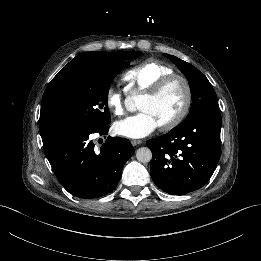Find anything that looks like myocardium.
<instances>
[{
  "label": "myocardium",
  "instance_id": "myocardium-1",
  "mask_svg": "<svg viewBox=\"0 0 261 261\" xmlns=\"http://www.w3.org/2000/svg\"><path fill=\"white\" fill-rule=\"evenodd\" d=\"M180 82L182 83L184 90H185V99L183 106L181 110L169 121L166 123L160 125V128L162 130H171L175 128L177 125H179L183 119L187 116L189 113L191 104H192V88L189 80L183 76L176 73L164 76L162 79H160L153 87L152 89L144 94L145 98L148 99H155L159 97L169 86L172 84Z\"/></svg>",
  "mask_w": 261,
  "mask_h": 261
}]
</instances>
